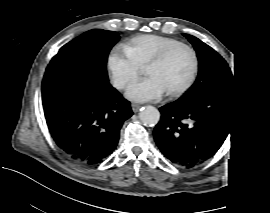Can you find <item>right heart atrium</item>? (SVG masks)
<instances>
[{"label": "right heart atrium", "instance_id": "1", "mask_svg": "<svg viewBox=\"0 0 270 213\" xmlns=\"http://www.w3.org/2000/svg\"><path fill=\"white\" fill-rule=\"evenodd\" d=\"M108 66L114 83L119 88H127L134 83L141 74L142 68L127 55H120L113 51L108 60Z\"/></svg>", "mask_w": 270, "mask_h": 213}]
</instances>
